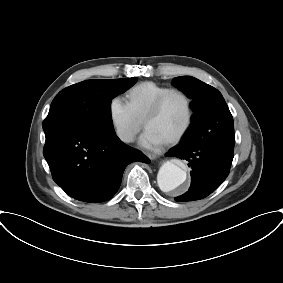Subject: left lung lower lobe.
<instances>
[{"label": "left lung lower lobe", "instance_id": "left-lung-lower-lobe-1", "mask_svg": "<svg viewBox=\"0 0 283 283\" xmlns=\"http://www.w3.org/2000/svg\"><path fill=\"white\" fill-rule=\"evenodd\" d=\"M204 125L200 119L191 125L181 142L166 155L186 160L191 167V186L176 201H194L211 194L229 174L233 149L214 146L204 140Z\"/></svg>", "mask_w": 283, "mask_h": 283}]
</instances>
